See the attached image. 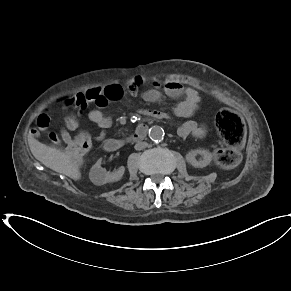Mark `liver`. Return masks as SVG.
Wrapping results in <instances>:
<instances>
[{
  "mask_svg": "<svg viewBox=\"0 0 291 291\" xmlns=\"http://www.w3.org/2000/svg\"><path fill=\"white\" fill-rule=\"evenodd\" d=\"M28 143L34 157L46 167L74 180L81 178L79 167L68 151L47 146L34 138H30Z\"/></svg>",
  "mask_w": 291,
  "mask_h": 291,
  "instance_id": "6515ba94",
  "label": "liver"
}]
</instances>
